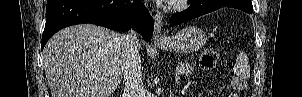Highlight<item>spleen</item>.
Listing matches in <instances>:
<instances>
[{
  "label": "spleen",
  "mask_w": 302,
  "mask_h": 97,
  "mask_svg": "<svg viewBox=\"0 0 302 97\" xmlns=\"http://www.w3.org/2000/svg\"><path fill=\"white\" fill-rule=\"evenodd\" d=\"M233 69L235 74L241 78L248 79L250 77V67L245 54H240Z\"/></svg>",
  "instance_id": "obj_1"
}]
</instances>
